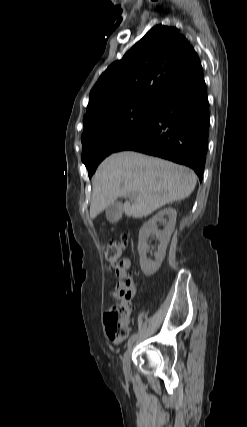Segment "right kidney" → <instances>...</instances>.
Here are the masks:
<instances>
[{"label":"right kidney","mask_w":247,"mask_h":427,"mask_svg":"<svg viewBox=\"0 0 247 427\" xmlns=\"http://www.w3.org/2000/svg\"><path fill=\"white\" fill-rule=\"evenodd\" d=\"M167 217V219L165 218ZM177 212L173 208H165L159 211L152 219L144 223L139 231L138 252L140 256V266L142 272L146 276H151L160 268L163 259L166 255V249L170 241L171 234L174 231L176 224ZM157 223H163L165 228L163 231L158 230ZM150 235H155L159 240L158 250L154 254L155 260L148 259L146 254L149 250L147 240Z\"/></svg>","instance_id":"ca27d5eb"}]
</instances>
